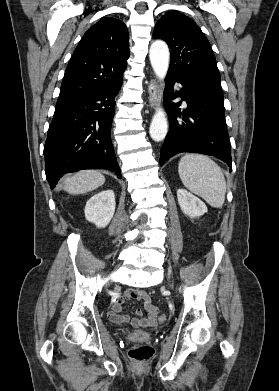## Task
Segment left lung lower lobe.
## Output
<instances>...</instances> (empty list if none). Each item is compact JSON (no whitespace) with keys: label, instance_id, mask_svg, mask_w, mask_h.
<instances>
[{"label":"left lung lower lobe","instance_id":"0a47b994","mask_svg":"<svg viewBox=\"0 0 279 391\" xmlns=\"http://www.w3.org/2000/svg\"><path fill=\"white\" fill-rule=\"evenodd\" d=\"M164 92V107L170 120V129L161 148L160 165L181 152L203 153L215 156L232 168L231 148L225 122L223 102L204 92L167 75ZM182 85L173 94V85ZM181 96L187 108L181 111Z\"/></svg>","mask_w":279,"mask_h":391}]
</instances>
